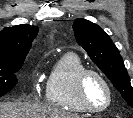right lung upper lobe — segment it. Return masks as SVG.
<instances>
[{
  "mask_svg": "<svg viewBox=\"0 0 133 118\" xmlns=\"http://www.w3.org/2000/svg\"><path fill=\"white\" fill-rule=\"evenodd\" d=\"M38 30L37 26L21 24L0 31V64L23 62Z\"/></svg>",
  "mask_w": 133,
  "mask_h": 118,
  "instance_id": "obj_1",
  "label": "right lung upper lobe"
}]
</instances>
